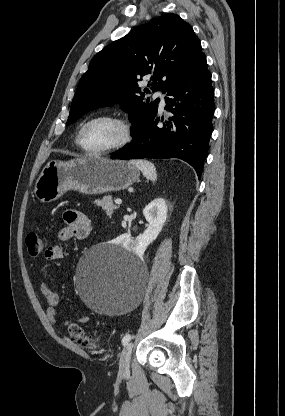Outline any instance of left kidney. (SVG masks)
<instances>
[{
	"label": "left kidney",
	"mask_w": 285,
	"mask_h": 416,
	"mask_svg": "<svg viewBox=\"0 0 285 416\" xmlns=\"http://www.w3.org/2000/svg\"><path fill=\"white\" fill-rule=\"evenodd\" d=\"M167 204L163 198H157L150 202L143 210V214L149 222V226L143 234L137 236V238H129V236H123L122 244L126 248H130L136 254H144L149 244H152L159 236L167 218Z\"/></svg>",
	"instance_id": "obj_1"
}]
</instances>
